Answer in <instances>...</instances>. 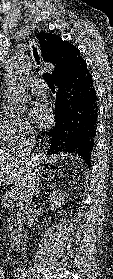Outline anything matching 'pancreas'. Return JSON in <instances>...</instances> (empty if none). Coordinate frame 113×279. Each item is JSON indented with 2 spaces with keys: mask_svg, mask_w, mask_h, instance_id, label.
Masks as SVG:
<instances>
[{
  "mask_svg": "<svg viewBox=\"0 0 113 279\" xmlns=\"http://www.w3.org/2000/svg\"><path fill=\"white\" fill-rule=\"evenodd\" d=\"M1 201V205L4 208L14 211V214L8 218L9 229H13V227L21 225L24 214L23 197H20L15 190H12L10 192H6Z\"/></svg>",
  "mask_w": 113,
  "mask_h": 279,
  "instance_id": "obj_1",
  "label": "pancreas"
}]
</instances>
